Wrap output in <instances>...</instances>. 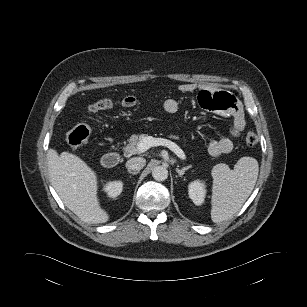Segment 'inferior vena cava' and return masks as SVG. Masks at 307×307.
I'll list each match as a JSON object with an SVG mask.
<instances>
[{
	"instance_id": "1",
	"label": "inferior vena cava",
	"mask_w": 307,
	"mask_h": 307,
	"mask_svg": "<svg viewBox=\"0 0 307 307\" xmlns=\"http://www.w3.org/2000/svg\"><path fill=\"white\" fill-rule=\"evenodd\" d=\"M146 165V160L141 157H134L126 162L128 170H141Z\"/></svg>"
}]
</instances>
